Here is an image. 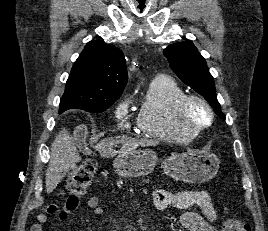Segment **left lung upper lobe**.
I'll list each match as a JSON object with an SVG mask.
<instances>
[{
  "instance_id": "left-lung-upper-lobe-1",
  "label": "left lung upper lobe",
  "mask_w": 268,
  "mask_h": 231,
  "mask_svg": "<svg viewBox=\"0 0 268 231\" xmlns=\"http://www.w3.org/2000/svg\"><path fill=\"white\" fill-rule=\"evenodd\" d=\"M164 55L175 74L193 90L205 97L215 113L225 119L217 100L214 78L209 73L207 64L193 42L169 45L163 50Z\"/></svg>"
}]
</instances>
